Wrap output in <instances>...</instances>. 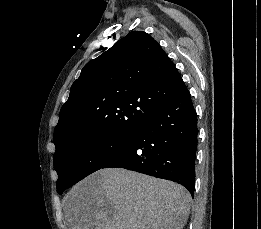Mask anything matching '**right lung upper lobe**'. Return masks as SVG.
<instances>
[{
	"mask_svg": "<svg viewBox=\"0 0 261 229\" xmlns=\"http://www.w3.org/2000/svg\"><path fill=\"white\" fill-rule=\"evenodd\" d=\"M183 83L158 42L133 31L88 62L54 131L56 148L86 134L135 135Z\"/></svg>",
	"mask_w": 261,
	"mask_h": 229,
	"instance_id": "1",
	"label": "right lung upper lobe"
}]
</instances>
